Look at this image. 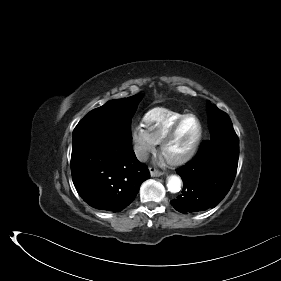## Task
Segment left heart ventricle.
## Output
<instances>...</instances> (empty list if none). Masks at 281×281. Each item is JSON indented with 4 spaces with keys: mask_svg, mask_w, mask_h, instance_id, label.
I'll use <instances>...</instances> for the list:
<instances>
[{
    "mask_svg": "<svg viewBox=\"0 0 281 281\" xmlns=\"http://www.w3.org/2000/svg\"><path fill=\"white\" fill-rule=\"evenodd\" d=\"M198 122L194 117L187 118L174 139L168 144L165 155L174 157L188 149L198 135Z\"/></svg>",
    "mask_w": 281,
    "mask_h": 281,
    "instance_id": "b2bd125f",
    "label": "left heart ventricle"
}]
</instances>
